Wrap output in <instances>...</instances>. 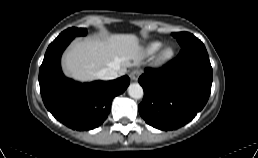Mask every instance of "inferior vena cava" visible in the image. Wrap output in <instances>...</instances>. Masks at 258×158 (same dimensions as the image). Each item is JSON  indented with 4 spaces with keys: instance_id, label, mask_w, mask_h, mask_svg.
I'll list each match as a JSON object with an SVG mask.
<instances>
[{
    "instance_id": "obj_1",
    "label": "inferior vena cava",
    "mask_w": 258,
    "mask_h": 158,
    "mask_svg": "<svg viewBox=\"0 0 258 158\" xmlns=\"http://www.w3.org/2000/svg\"><path fill=\"white\" fill-rule=\"evenodd\" d=\"M118 76V67H108L97 73V77L101 80H112L116 79Z\"/></svg>"
}]
</instances>
